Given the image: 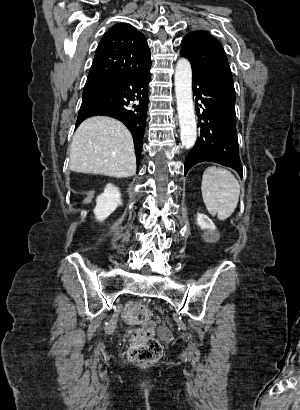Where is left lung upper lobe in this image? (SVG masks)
Segmentation results:
<instances>
[{"mask_svg": "<svg viewBox=\"0 0 300 410\" xmlns=\"http://www.w3.org/2000/svg\"><path fill=\"white\" fill-rule=\"evenodd\" d=\"M180 55L186 57L192 71L223 84L235 95L233 77L220 42L207 31L188 33L181 42Z\"/></svg>", "mask_w": 300, "mask_h": 410, "instance_id": "5c2ea615", "label": "left lung upper lobe"}]
</instances>
